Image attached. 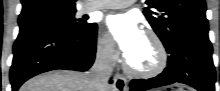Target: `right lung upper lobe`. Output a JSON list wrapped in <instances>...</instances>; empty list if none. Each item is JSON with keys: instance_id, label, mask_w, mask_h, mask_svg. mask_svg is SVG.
I'll return each mask as SVG.
<instances>
[{"instance_id": "obj_1", "label": "right lung upper lobe", "mask_w": 220, "mask_h": 91, "mask_svg": "<svg viewBox=\"0 0 220 91\" xmlns=\"http://www.w3.org/2000/svg\"><path fill=\"white\" fill-rule=\"evenodd\" d=\"M76 0H22L19 25H24L44 16L75 10Z\"/></svg>"}]
</instances>
